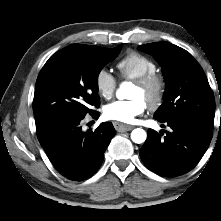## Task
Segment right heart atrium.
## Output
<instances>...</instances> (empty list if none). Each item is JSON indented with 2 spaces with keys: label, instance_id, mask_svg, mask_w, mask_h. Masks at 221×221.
<instances>
[{
  "label": "right heart atrium",
  "instance_id": "1",
  "mask_svg": "<svg viewBox=\"0 0 221 221\" xmlns=\"http://www.w3.org/2000/svg\"><path fill=\"white\" fill-rule=\"evenodd\" d=\"M95 86L101 97L109 99L113 96L116 90L117 81L108 69L101 68L96 73Z\"/></svg>",
  "mask_w": 221,
  "mask_h": 221
}]
</instances>
